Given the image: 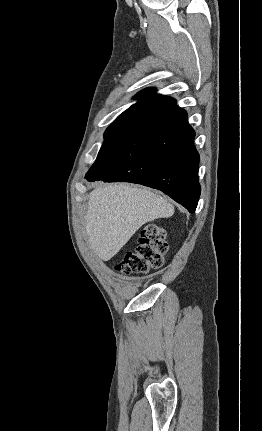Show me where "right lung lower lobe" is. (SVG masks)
Masks as SVG:
<instances>
[{"mask_svg":"<svg viewBox=\"0 0 262 431\" xmlns=\"http://www.w3.org/2000/svg\"><path fill=\"white\" fill-rule=\"evenodd\" d=\"M194 138L186 111L174 106L130 126L85 178L155 188L194 213L201 192Z\"/></svg>","mask_w":262,"mask_h":431,"instance_id":"98d812e1","label":"right lung lower lobe"}]
</instances>
